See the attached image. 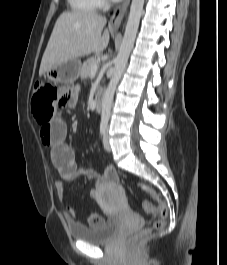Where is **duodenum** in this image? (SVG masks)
Instances as JSON below:
<instances>
[{
  "mask_svg": "<svg viewBox=\"0 0 227 265\" xmlns=\"http://www.w3.org/2000/svg\"><path fill=\"white\" fill-rule=\"evenodd\" d=\"M102 105H103V94L100 91L94 101V108L97 113H100L102 110Z\"/></svg>",
  "mask_w": 227,
  "mask_h": 265,
  "instance_id": "duodenum-1",
  "label": "duodenum"
}]
</instances>
